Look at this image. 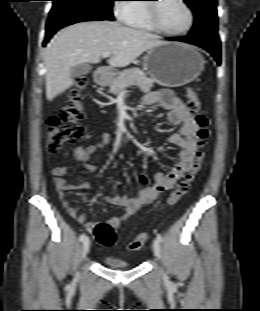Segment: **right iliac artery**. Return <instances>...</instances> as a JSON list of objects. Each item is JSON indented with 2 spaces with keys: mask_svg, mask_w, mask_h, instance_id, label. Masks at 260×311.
Listing matches in <instances>:
<instances>
[{
  "mask_svg": "<svg viewBox=\"0 0 260 311\" xmlns=\"http://www.w3.org/2000/svg\"><path fill=\"white\" fill-rule=\"evenodd\" d=\"M86 238H87L86 234L83 233V234L80 236V241L83 242Z\"/></svg>",
  "mask_w": 260,
  "mask_h": 311,
  "instance_id": "obj_1",
  "label": "right iliac artery"
}]
</instances>
